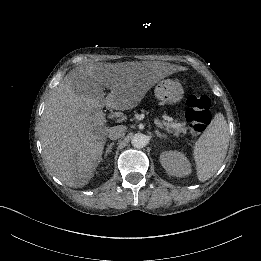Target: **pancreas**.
I'll return each mask as SVG.
<instances>
[{
  "instance_id": "pancreas-1",
  "label": "pancreas",
  "mask_w": 261,
  "mask_h": 261,
  "mask_svg": "<svg viewBox=\"0 0 261 261\" xmlns=\"http://www.w3.org/2000/svg\"><path fill=\"white\" fill-rule=\"evenodd\" d=\"M157 122L160 123V125H163L166 128L167 132L173 133V135L176 137H184L189 133L186 122H183L182 127L180 128H172L171 124L168 122H161V121H157Z\"/></svg>"
}]
</instances>
